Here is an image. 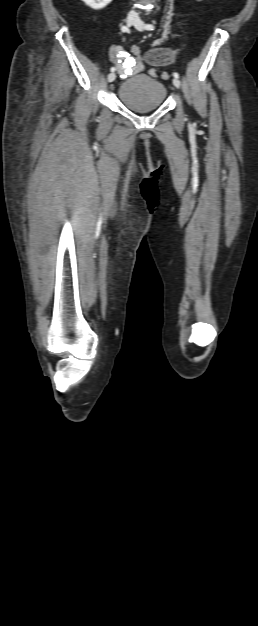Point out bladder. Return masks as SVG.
<instances>
[{"instance_id": "obj_1", "label": "bladder", "mask_w": 258, "mask_h": 626, "mask_svg": "<svg viewBox=\"0 0 258 626\" xmlns=\"http://www.w3.org/2000/svg\"><path fill=\"white\" fill-rule=\"evenodd\" d=\"M167 97L163 83L149 75L125 79L118 88V98L131 111L145 113L161 107Z\"/></svg>"}]
</instances>
